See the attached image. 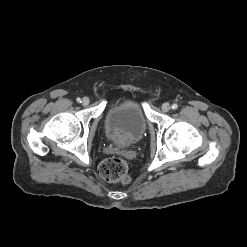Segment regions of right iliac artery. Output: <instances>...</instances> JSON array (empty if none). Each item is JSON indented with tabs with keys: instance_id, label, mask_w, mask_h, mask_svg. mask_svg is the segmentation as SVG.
Segmentation results:
<instances>
[{
	"instance_id": "1",
	"label": "right iliac artery",
	"mask_w": 247,
	"mask_h": 247,
	"mask_svg": "<svg viewBox=\"0 0 247 247\" xmlns=\"http://www.w3.org/2000/svg\"><path fill=\"white\" fill-rule=\"evenodd\" d=\"M77 102L78 103H81V98H77Z\"/></svg>"
}]
</instances>
